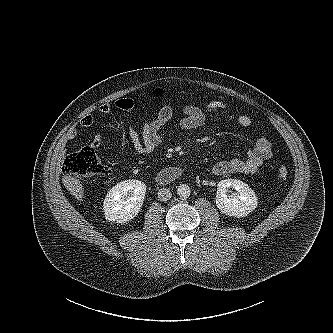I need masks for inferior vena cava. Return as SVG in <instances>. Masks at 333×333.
Segmentation results:
<instances>
[{
  "label": "inferior vena cava",
  "instance_id": "obj_1",
  "mask_svg": "<svg viewBox=\"0 0 333 333\" xmlns=\"http://www.w3.org/2000/svg\"><path fill=\"white\" fill-rule=\"evenodd\" d=\"M172 197V194L169 189L167 188H161L158 191V198L160 201H167Z\"/></svg>",
  "mask_w": 333,
  "mask_h": 333
}]
</instances>
